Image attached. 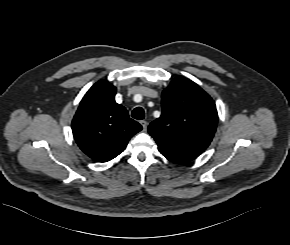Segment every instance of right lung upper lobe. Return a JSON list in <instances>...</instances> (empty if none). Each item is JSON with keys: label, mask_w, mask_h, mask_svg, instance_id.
<instances>
[{"label": "right lung upper lobe", "mask_w": 290, "mask_h": 245, "mask_svg": "<svg viewBox=\"0 0 290 245\" xmlns=\"http://www.w3.org/2000/svg\"><path fill=\"white\" fill-rule=\"evenodd\" d=\"M116 88L100 80L85 94L72 121L74 138L90 158L107 162L118 156L141 125L114 100Z\"/></svg>", "instance_id": "cb5924a9"}]
</instances>
